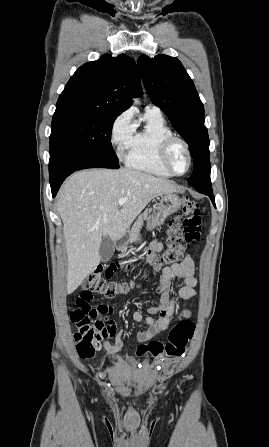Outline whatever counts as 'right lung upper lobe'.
Segmentation results:
<instances>
[{"label": "right lung upper lobe", "instance_id": "cb5924a9", "mask_svg": "<svg viewBox=\"0 0 269 447\" xmlns=\"http://www.w3.org/2000/svg\"><path fill=\"white\" fill-rule=\"evenodd\" d=\"M140 76L134 60L124 54L103 55L85 63L59 96L54 114L106 113L119 115L139 94Z\"/></svg>", "mask_w": 269, "mask_h": 447}]
</instances>
